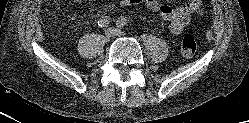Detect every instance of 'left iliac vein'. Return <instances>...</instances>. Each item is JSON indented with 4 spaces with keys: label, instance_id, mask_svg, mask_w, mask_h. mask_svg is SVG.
Here are the masks:
<instances>
[{
    "label": "left iliac vein",
    "instance_id": "left-iliac-vein-1",
    "mask_svg": "<svg viewBox=\"0 0 249 123\" xmlns=\"http://www.w3.org/2000/svg\"><path fill=\"white\" fill-rule=\"evenodd\" d=\"M114 31L116 36H121L123 34V32L119 29H114Z\"/></svg>",
    "mask_w": 249,
    "mask_h": 123
}]
</instances>
